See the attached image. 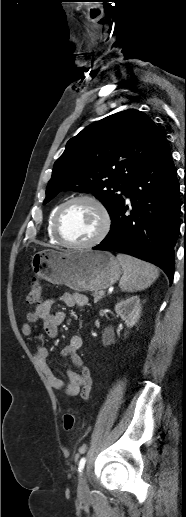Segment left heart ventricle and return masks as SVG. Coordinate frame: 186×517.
Segmentation results:
<instances>
[{"label": "left heart ventricle", "mask_w": 186, "mask_h": 517, "mask_svg": "<svg viewBox=\"0 0 186 517\" xmlns=\"http://www.w3.org/2000/svg\"><path fill=\"white\" fill-rule=\"evenodd\" d=\"M100 214L89 202L80 201L70 205L63 213L60 230L63 237L73 243L91 240L99 231Z\"/></svg>", "instance_id": "1"}]
</instances>
